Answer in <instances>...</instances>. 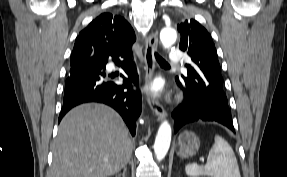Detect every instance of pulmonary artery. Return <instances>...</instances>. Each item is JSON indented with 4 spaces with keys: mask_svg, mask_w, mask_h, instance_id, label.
I'll list each match as a JSON object with an SVG mask.
<instances>
[{
    "mask_svg": "<svg viewBox=\"0 0 287 177\" xmlns=\"http://www.w3.org/2000/svg\"><path fill=\"white\" fill-rule=\"evenodd\" d=\"M180 56H181V50L174 48L171 50L169 55V66H179L180 65Z\"/></svg>",
    "mask_w": 287,
    "mask_h": 177,
    "instance_id": "obj_1",
    "label": "pulmonary artery"
}]
</instances>
